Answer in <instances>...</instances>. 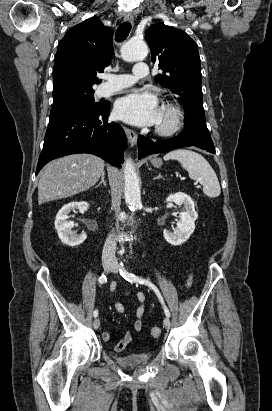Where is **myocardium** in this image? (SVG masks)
Listing matches in <instances>:
<instances>
[{
  "instance_id": "myocardium-1",
  "label": "myocardium",
  "mask_w": 272,
  "mask_h": 411,
  "mask_svg": "<svg viewBox=\"0 0 272 411\" xmlns=\"http://www.w3.org/2000/svg\"><path fill=\"white\" fill-rule=\"evenodd\" d=\"M182 124V111L175 105L167 104L160 113L156 132L161 136H171L180 130Z\"/></svg>"
}]
</instances>
